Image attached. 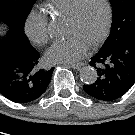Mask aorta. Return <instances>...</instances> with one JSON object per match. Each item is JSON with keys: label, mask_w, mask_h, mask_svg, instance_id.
<instances>
[{"label": "aorta", "mask_w": 135, "mask_h": 135, "mask_svg": "<svg viewBox=\"0 0 135 135\" xmlns=\"http://www.w3.org/2000/svg\"><path fill=\"white\" fill-rule=\"evenodd\" d=\"M58 30H53V34L59 35ZM97 71L91 66H85L80 70V78L86 84H93L97 80Z\"/></svg>", "instance_id": "762f6f07"}]
</instances>
